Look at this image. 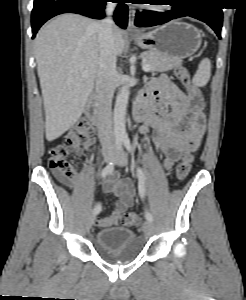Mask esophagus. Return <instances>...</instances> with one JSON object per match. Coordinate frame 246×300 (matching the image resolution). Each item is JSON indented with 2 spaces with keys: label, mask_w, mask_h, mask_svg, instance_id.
<instances>
[{
  "label": "esophagus",
  "mask_w": 246,
  "mask_h": 300,
  "mask_svg": "<svg viewBox=\"0 0 246 300\" xmlns=\"http://www.w3.org/2000/svg\"><path fill=\"white\" fill-rule=\"evenodd\" d=\"M134 20H135V10L129 8L127 32L130 34L139 33V30L134 24Z\"/></svg>",
  "instance_id": "obj_1"
}]
</instances>
